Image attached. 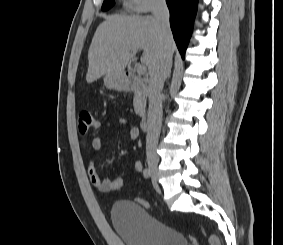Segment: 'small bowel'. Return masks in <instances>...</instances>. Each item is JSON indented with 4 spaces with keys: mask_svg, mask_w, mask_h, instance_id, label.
Listing matches in <instances>:
<instances>
[{
    "mask_svg": "<svg viewBox=\"0 0 283 245\" xmlns=\"http://www.w3.org/2000/svg\"><path fill=\"white\" fill-rule=\"evenodd\" d=\"M119 123L122 124L128 131L129 136L131 139H136L139 136V129L136 125H134L132 122L127 120L126 118H119ZM91 148L94 151H99L104 148V139L102 134H98L94 136L91 140ZM134 171L141 172L143 167L142 163L140 161H136L134 163ZM87 173L90 179L91 184L100 192H109L111 191V181L112 179H102L94 166V159L91 157L88 161V168Z\"/></svg>",
    "mask_w": 283,
    "mask_h": 245,
    "instance_id": "c3829d8e",
    "label": "small bowel"
}]
</instances>
